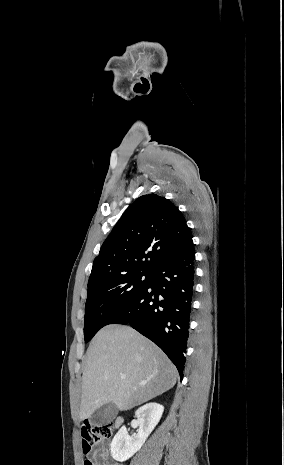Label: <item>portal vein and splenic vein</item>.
Instances as JSON below:
<instances>
[{
  "label": "portal vein and splenic vein",
  "instance_id": "obj_1",
  "mask_svg": "<svg viewBox=\"0 0 284 465\" xmlns=\"http://www.w3.org/2000/svg\"><path fill=\"white\" fill-rule=\"evenodd\" d=\"M120 379H126V375H121Z\"/></svg>",
  "mask_w": 284,
  "mask_h": 465
}]
</instances>
